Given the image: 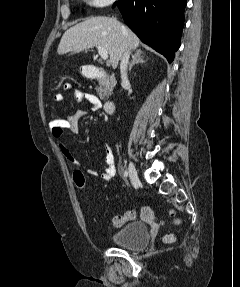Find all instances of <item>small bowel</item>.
<instances>
[{
  "instance_id": "small-bowel-1",
  "label": "small bowel",
  "mask_w": 240,
  "mask_h": 287,
  "mask_svg": "<svg viewBox=\"0 0 240 287\" xmlns=\"http://www.w3.org/2000/svg\"><path fill=\"white\" fill-rule=\"evenodd\" d=\"M64 89L71 92L75 100L85 105L84 108L78 109L75 113L67 117L68 126H67L66 131L72 134H76L78 133V130H79L80 120L83 117H85L90 110L99 109L101 103L98 97L95 96L94 94L81 91V90H77V89H73L72 86L69 84H65ZM53 100L55 102L61 103L65 100V96L62 93H55L53 95ZM53 137L55 141L57 142L64 158L72 165L81 168L82 164L76 159V157L73 155L71 150L66 146L63 140V136L61 137L53 136ZM85 171L90 176H94V177L99 176L105 181L111 180L116 174L115 159H114V154H113L111 147L109 146L106 147L105 158H104V170L101 173L93 169H86ZM141 217L145 220H150L153 217V212L151 208L148 206L142 207Z\"/></svg>"
}]
</instances>
